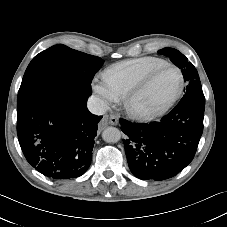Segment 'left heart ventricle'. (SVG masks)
<instances>
[{
  "instance_id": "left-heart-ventricle-1",
  "label": "left heart ventricle",
  "mask_w": 227,
  "mask_h": 227,
  "mask_svg": "<svg viewBox=\"0 0 227 227\" xmlns=\"http://www.w3.org/2000/svg\"><path fill=\"white\" fill-rule=\"evenodd\" d=\"M179 74L169 68L159 73L149 87L133 102L134 108L153 111L163 106L177 91Z\"/></svg>"
}]
</instances>
